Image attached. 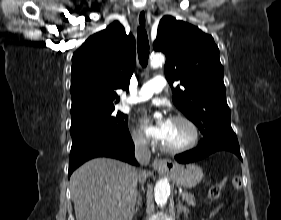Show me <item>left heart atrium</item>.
Listing matches in <instances>:
<instances>
[{
    "mask_svg": "<svg viewBox=\"0 0 281 220\" xmlns=\"http://www.w3.org/2000/svg\"><path fill=\"white\" fill-rule=\"evenodd\" d=\"M170 124V120L169 119H163L159 124L157 125H152L150 120L148 118H144L143 119V126L146 130V133L159 141H163L166 133H167V129L168 126Z\"/></svg>",
    "mask_w": 281,
    "mask_h": 220,
    "instance_id": "left-heart-atrium-1",
    "label": "left heart atrium"
}]
</instances>
